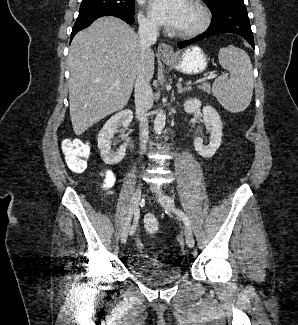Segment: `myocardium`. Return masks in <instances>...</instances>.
Returning a JSON list of instances; mask_svg holds the SVG:
<instances>
[{
	"label": "myocardium",
	"mask_w": 298,
	"mask_h": 325,
	"mask_svg": "<svg viewBox=\"0 0 298 325\" xmlns=\"http://www.w3.org/2000/svg\"><path fill=\"white\" fill-rule=\"evenodd\" d=\"M186 2L195 11L197 15V23L193 28L183 32H174L172 30L171 33L175 37H180V38L194 37L202 33L208 26V16L204 8L196 0H186ZM149 71H151V69Z\"/></svg>",
	"instance_id": "myocardium-1"
}]
</instances>
